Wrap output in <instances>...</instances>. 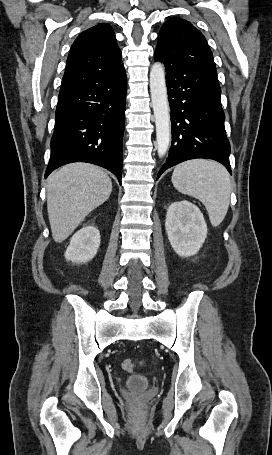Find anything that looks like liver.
<instances>
[{
    "label": "liver",
    "instance_id": "6515ba94",
    "mask_svg": "<svg viewBox=\"0 0 272 455\" xmlns=\"http://www.w3.org/2000/svg\"><path fill=\"white\" fill-rule=\"evenodd\" d=\"M47 211L55 242L67 239L84 218L112 192L109 176L99 167L72 163L52 173L47 181Z\"/></svg>",
    "mask_w": 272,
    "mask_h": 455
}]
</instances>
